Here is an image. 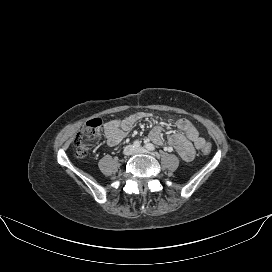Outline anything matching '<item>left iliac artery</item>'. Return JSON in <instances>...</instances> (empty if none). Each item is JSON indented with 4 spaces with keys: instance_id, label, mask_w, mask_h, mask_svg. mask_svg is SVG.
Listing matches in <instances>:
<instances>
[{
    "instance_id": "44dca946",
    "label": "left iliac artery",
    "mask_w": 272,
    "mask_h": 272,
    "mask_svg": "<svg viewBox=\"0 0 272 272\" xmlns=\"http://www.w3.org/2000/svg\"><path fill=\"white\" fill-rule=\"evenodd\" d=\"M145 147L149 150V151H154L155 150V146L151 143H147L145 145Z\"/></svg>"
}]
</instances>
